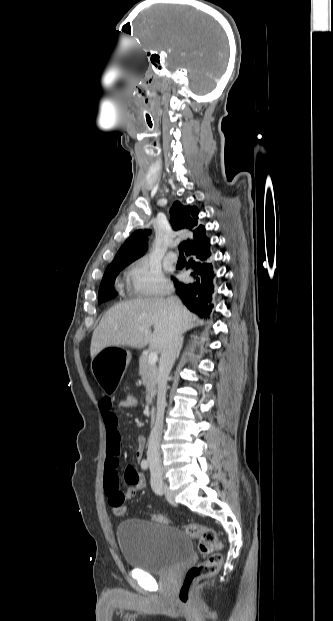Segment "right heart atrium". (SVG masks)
<instances>
[{
  "mask_svg": "<svg viewBox=\"0 0 333 621\" xmlns=\"http://www.w3.org/2000/svg\"><path fill=\"white\" fill-rule=\"evenodd\" d=\"M128 285L130 292L139 297L162 296L171 290L161 269L147 259H140L130 267Z\"/></svg>",
  "mask_w": 333,
  "mask_h": 621,
  "instance_id": "1",
  "label": "right heart atrium"
}]
</instances>
